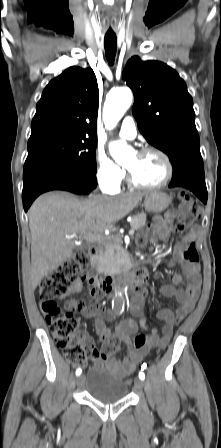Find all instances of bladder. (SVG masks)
Masks as SVG:
<instances>
[{
    "label": "bladder",
    "mask_w": 221,
    "mask_h": 448,
    "mask_svg": "<svg viewBox=\"0 0 221 448\" xmlns=\"http://www.w3.org/2000/svg\"><path fill=\"white\" fill-rule=\"evenodd\" d=\"M82 385L92 399L104 404L125 399L129 390L127 381L100 367H94L83 375Z\"/></svg>",
    "instance_id": "obj_1"
}]
</instances>
